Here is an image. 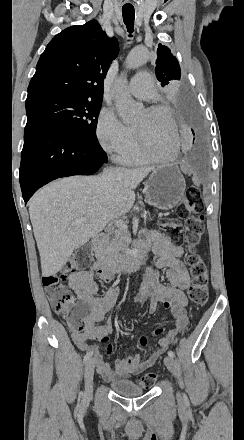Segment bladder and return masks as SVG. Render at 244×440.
<instances>
[{
	"mask_svg": "<svg viewBox=\"0 0 244 440\" xmlns=\"http://www.w3.org/2000/svg\"><path fill=\"white\" fill-rule=\"evenodd\" d=\"M112 388L114 392L128 396L143 394L145 391V388H140L136 382L128 380L112 382Z\"/></svg>",
	"mask_w": 244,
	"mask_h": 440,
	"instance_id": "bladder-1",
	"label": "bladder"
}]
</instances>
